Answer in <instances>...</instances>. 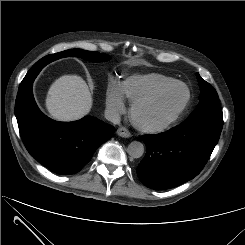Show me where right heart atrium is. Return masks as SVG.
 <instances>
[{
    "instance_id": "1",
    "label": "right heart atrium",
    "mask_w": 245,
    "mask_h": 245,
    "mask_svg": "<svg viewBox=\"0 0 245 245\" xmlns=\"http://www.w3.org/2000/svg\"><path fill=\"white\" fill-rule=\"evenodd\" d=\"M105 102L107 111L112 118H117L125 112V97L119 83H108L105 90Z\"/></svg>"
}]
</instances>
